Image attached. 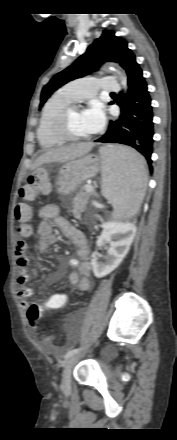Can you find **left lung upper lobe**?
Returning a JSON list of instances; mask_svg holds the SVG:
<instances>
[{
    "instance_id": "obj_1",
    "label": "left lung upper lobe",
    "mask_w": 177,
    "mask_h": 440,
    "mask_svg": "<svg viewBox=\"0 0 177 440\" xmlns=\"http://www.w3.org/2000/svg\"><path fill=\"white\" fill-rule=\"evenodd\" d=\"M107 61L118 62L126 71L128 81L134 71L139 68L135 55L127 47V41L115 36V32L104 30L102 35L95 39L87 51L81 55L72 65L56 74L50 82L44 86L41 93L40 107L46 102L50 95L63 86L77 78L90 74L97 70L101 64Z\"/></svg>"
}]
</instances>
